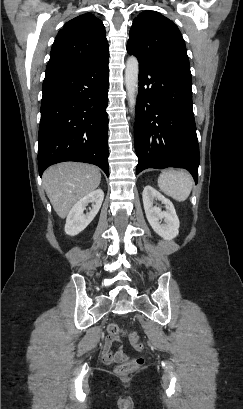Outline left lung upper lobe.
I'll return each mask as SVG.
<instances>
[{"label":"left lung upper lobe","instance_id":"obj_1","mask_svg":"<svg viewBox=\"0 0 243 409\" xmlns=\"http://www.w3.org/2000/svg\"><path fill=\"white\" fill-rule=\"evenodd\" d=\"M127 51L137 57L140 65L171 58L188 60L185 42L177 25L150 10L141 12L133 20Z\"/></svg>","mask_w":243,"mask_h":409}]
</instances>
